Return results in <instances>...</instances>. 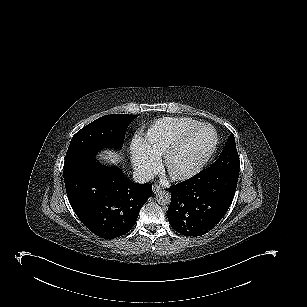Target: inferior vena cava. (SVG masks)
<instances>
[{"mask_svg": "<svg viewBox=\"0 0 307 307\" xmlns=\"http://www.w3.org/2000/svg\"><path fill=\"white\" fill-rule=\"evenodd\" d=\"M152 176L143 170H137L133 173V181L135 183L144 184L152 180Z\"/></svg>", "mask_w": 307, "mask_h": 307, "instance_id": "602c4592", "label": "inferior vena cava"}]
</instances>
